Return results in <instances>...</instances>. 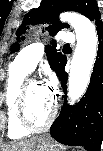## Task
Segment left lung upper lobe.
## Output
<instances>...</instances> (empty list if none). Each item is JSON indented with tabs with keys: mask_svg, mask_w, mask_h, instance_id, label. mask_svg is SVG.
Listing matches in <instances>:
<instances>
[{
	"mask_svg": "<svg viewBox=\"0 0 103 151\" xmlns=\"http://www.w3.org/2000/svg\"><path fill=\"white\" fill-rule=\"evenodd\" d=\"M76 11L88 17L91 21L95 20L97 29H103V22L100 20V12L95 0H42L38 8L30 10L23 19L21 27L18 28L16 35L24 34L26 29L32 25L40 24L43 22H51L49 26V34L55 35L59 30L68 28L69 25L61 23L58 19V14L63 11ZM22 40L25 37L21 38ZM20 42V38H18ZM56 43L53 41L52 46L46 47V54L51 68L59 72L63 64L66 62V56L56 49ZM20 49L19 43H14L11 47L12 52Z\"/></svg>",
	"mask_w": 103,
	"mask_h": 151,
	"instance_id": "5c2ea615",
	"label": "left lung upper lobe"
}]
</instances>
